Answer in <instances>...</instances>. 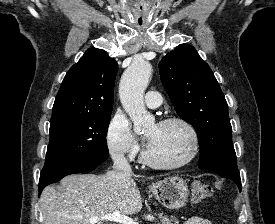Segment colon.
Instances as JSON below:
<instances>
[{
  "label": "colon",
  "mask_w": 275,
  "mask_h": 224,
  "mask_svg": "<svg viewBox=\"0 0 275 224\" xmlns=\"http://www.w3.org/2000/svg\"><path fill=\"white\" fill-rule=\"evenodd\" d=\"M211 192L210 186L200 181L191 184V198L194 203L207 200L211 196Z\"/></svg>",
  "instance_id": "obj_1"
}]
</instances>
